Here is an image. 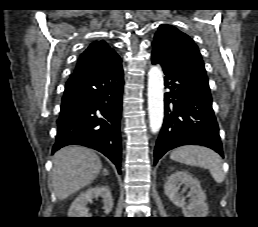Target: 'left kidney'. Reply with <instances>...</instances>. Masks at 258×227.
Returning a JSON list of instances; mask_svg holds the SVG:
<instances>
[{"mask_svg": "<svg viewBox=\"0 0 258 227\" xmlns=\"http://www.w3.org/2000/svg\"><path fill=\"white\" fill-rule=\"evenodd\" d=\"M184 185L190 188L187 197L190 198L189 203L185 202V197L179 193V186ZM165 194L177 207L182 209L185 217H207L208 206L206 195L201 188L200 182L193 178L186 171H176L169 178L164 186Z\"/></svg>", "mask_w": 258, "mask_h": 227, "instance_id": "5707ae66", "label": "left kidney"}]
</instances>
